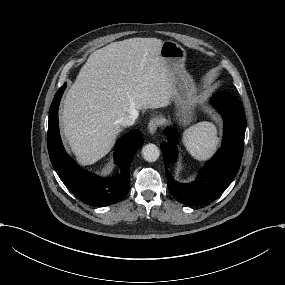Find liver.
<instances>
[{
	"instance_id": "obj_1",
	"label": "liver",
	"mask_w": 285,
	"mask_h": 285,
	"mask_svg": "<svg viewBox=\"0 0 285 285\" xmlns=\"http://www.w3.org/2000/svg\"><path fill=\"white\" fill-rule=\"evenodd\" d=\"M157 38H130L94 51L68 90L63 134L77 161L90 165L108 154L129 110L168 106L172 79Z\"/></svg>"
}]
</instances>
